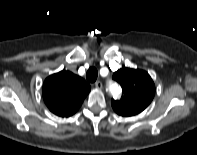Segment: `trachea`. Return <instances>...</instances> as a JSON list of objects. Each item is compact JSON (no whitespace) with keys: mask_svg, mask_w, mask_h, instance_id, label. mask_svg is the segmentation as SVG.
Returning a JSON list of instances; mask_svg holds the SVG:
<instances>
[{"mask_svg":"<svg viewBox=\"0 0 197 155\" xmlns=\"http://www.w3.org/2000/svg\"><path fill=\"white\" fill-rule=\"evenodd\" d=\"M97 76H98V71L96 68L92 67L88 69L86 73V78L89 82L91 83L95 82L97 79Z\"/></svg>","mask_w":197,"mask_h":155,"instance_id":"trachea-1","label":"trachea"}]
</instances>
